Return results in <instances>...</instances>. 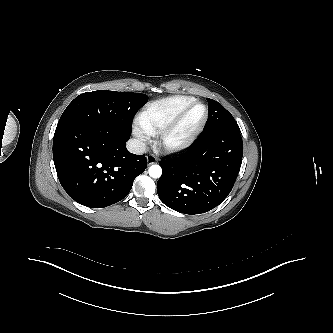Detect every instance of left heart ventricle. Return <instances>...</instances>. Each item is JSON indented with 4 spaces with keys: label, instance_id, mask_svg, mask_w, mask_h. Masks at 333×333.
<instances>
[{
    "label": "left heart ventricle",
    "instance_id": "obj_1",
    "mask_svg": "<svg viewBox=\"0 0 333 333\" xmlns=\"http://www.w3.org/2000/svg\"><path fill=\"white\" fill-rule=\"evenodd\" d=\"M204 115V109L202 106L194 107L186 116L184 122L176 133V137H182L187 134L192 128H194Z\"/></svg>",
    "mask_w": 333,
    "mask_h": 333
}]
</instances>
